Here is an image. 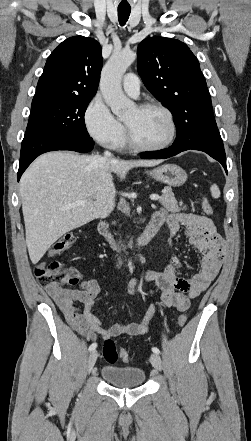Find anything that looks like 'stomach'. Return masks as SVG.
I'll return each mask as SVG.
<instances>
[{
  "label": "stomach",
  "instance_id": "0dacf381",
  "mask_svg": "<svg viewBox=\"0 0 251 441\" xmlns=\"http://www.w3.org/2000/svg\"><path fill=\"white\" fill-rule=\"evenodd\" d=\"M153 179L172 187L182 186L187 180L184 169L175 164H165L153 170L146 171Z\"/></svg>",
  "mask_w": 251,
  "mask_h": 441
}]
</instances>
